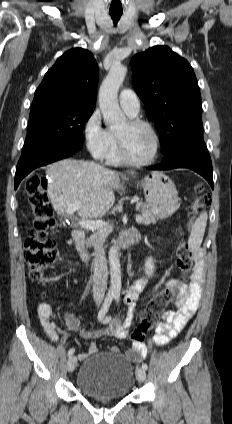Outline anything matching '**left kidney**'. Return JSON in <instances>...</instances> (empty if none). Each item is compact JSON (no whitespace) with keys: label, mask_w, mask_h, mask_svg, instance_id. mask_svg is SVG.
Returning <instances> with one entry per match:
<instances>
[{"label":"left kidney","mask_w":232,"mask_h":424,"mask_svg":"<svg viewBox=\"0 0 232 424\" xmlns=\"http://www.w3.org/2000/svg\"><path fill=\"white\" fill-rule=\"evenodd\" d=\"M154 261L152 257H148L145 261V273L146 275H148L149 277L153 275L154 272Z\"/></svg>","instance_id":"1"}]
</instances>
